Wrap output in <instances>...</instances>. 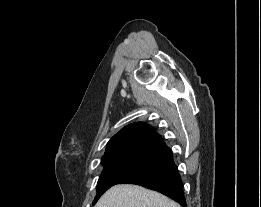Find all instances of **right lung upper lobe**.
I'll list each match as a JSON object with an SVG mask.
<instances>
[{"label":"right lung upper lobe","instance_id":"cb5924a9","mask_svg":"<svg viewBox=\"0 0 261 207\" xmlns=\"http://www.w3.org/2000/svg\"><path fill=\"white\" fill-rule=\"evenodd\" d=\"M172 157V151L151 126L135 122L125 126L110 139L101 163L126 159L154 160L161 163Z\"/></svg>","mask_w":261,"mask_h":207}]
</instances>
